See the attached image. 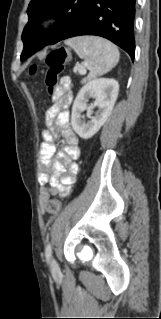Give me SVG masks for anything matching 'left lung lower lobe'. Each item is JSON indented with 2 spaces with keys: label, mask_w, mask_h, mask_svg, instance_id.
<instances>
[{
  "label": "left lung lower lobe",
  "mask_w": 161,
  "mask_h": 319,
  "mask_svg": "<svg viewBox=\"0 0 161 319\" xmlns=\"http://www.w3.org/2000/svg\"><path fill=\"white\" fill-rule=\"evenodd\" d=\"M135 3L136 0H92L62 40L80 35L101 36L121 47L134 60ZM35 52L36 47L21 56V61Z\"/></svg>",
  "instance_id": "left-lung-lower-lobe-1"
}]
</instances>
